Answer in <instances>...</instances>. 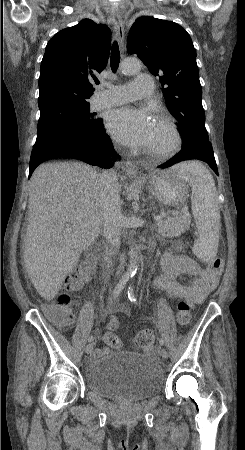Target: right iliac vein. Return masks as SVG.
Instances as JSON below:
<instances>
[{
  "label": "right iliac vein",
  "mask_w": 245,
  "mask_h": 450,
  "mask_svg": "<svg viewBox=\"0 0 245 450\" xmlns=\"http://www.w3.org/2000/svg\"><path fill=\"white\" fill-rule=\"evenodd\" d=\"M93 350V345L92 344H88L85 348V351L87 354L91 353Z\"/></svg>",
  "instance_id": "obj_1"
}]
</instances>
